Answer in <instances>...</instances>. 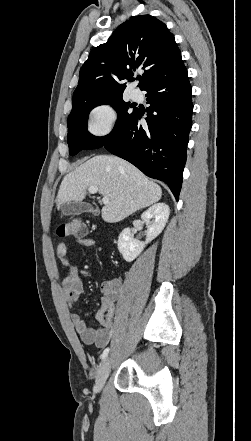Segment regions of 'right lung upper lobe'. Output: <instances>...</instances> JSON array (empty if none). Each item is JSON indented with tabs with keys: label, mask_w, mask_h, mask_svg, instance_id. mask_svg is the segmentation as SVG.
<instances>
[{
	"label": "right lung upper lobe",
	"mask_w": 251,
	"mask_h": 441,
	"mask_svg": "<svg viewBox=\"0 0 251 441\" xmlns=\"http://www.w3.org/2000/svg\"><path fill=\"white\" fill-rule=\"evenodd\" d=\"M181 52L167 26L151 15L121 24L105 44L94 48L83 64L73 101L122 96L126 83L142 69V90L157 78L183 66Z\"/></svg>",
	"instance_id": "cb5924a9"
}]
</instances>
